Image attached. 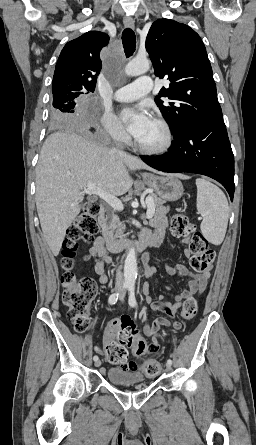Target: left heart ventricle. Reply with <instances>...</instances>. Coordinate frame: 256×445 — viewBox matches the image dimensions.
Wrapping results in <instances>:
<instances>
[{
	"instance_id": "obj_1",
	"label": "left heart ventricle",
	"mask_w": 256,
	"mask_h": 445,
	"mask_svg": "<svg viewBox=\"0 0 256 445\" xmlns=\"http://www.w3.org/2000/svg\"><path fill=\"white\" fill-rule=\"evenodd\" d=\"M136 140L144 146L156 147L164 141V133L162 128L152 120L147 129Z\"/></svg>"
}]
</instances>
